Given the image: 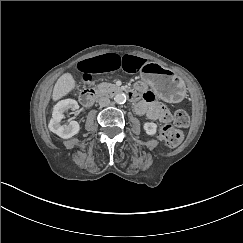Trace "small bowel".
<instances>
[{
    "instance_id": "c3829d8e",
    "label": "small bowel",
    "mask_w": 243,
    "mask_h": 243,
    "mask_svg": "<svg viewBox=\"0 0 243 243\" xmlns=\"http://www.w3.org/2000/svg\"><path fill=\"white\" fill-rule=\"evenodd\" d=\"M143 65L144 60L141 57L108 53L80 62L79 69L86 73L109 72L119 69L134 73ZM136 86L143 94L142 101L135 107L136 112L146 115L150 120L169 121L171 118L169 111L164 104L157 100L155 94L148 90L143 83H137Z\"/></svg>"
}]
</instances>
